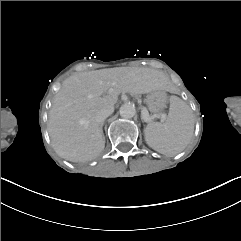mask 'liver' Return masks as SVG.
<instances>
[{"label":"liver","instance_id":"6515ba94","mask_svg":"<svg viewBox=\"0 0 241 241\" xmlns=\"http://www.w3.org/2000/svg\"><path fill=\"white\" fill-rule=\"evenodd\" d=\"M167 90L164 74L147 68L125 67L75 74L55 95L48 132L55 152L75 163L95 159L105 140L96 115L114 107L121 93L148 94Z\"/></svg>","mask_w":241,"mask_h":241}]
</instances>
